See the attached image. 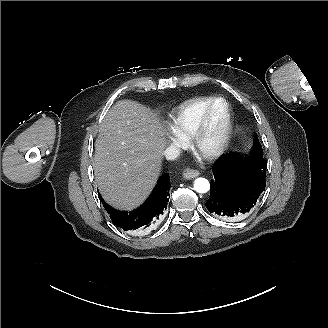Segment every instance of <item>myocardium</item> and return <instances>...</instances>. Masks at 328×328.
Here are the masks:
<instances>
[{"label":"myocardium","mask_w":328,"mask_h":328,"mask_svg":"<svg viewBox=\"0 0 328 328\" xmlns=\"http://www.w3.org/2000/svg\"><path fill=\"white\" fill-rule=\"evenodd\" d=\"M219 105H223L226 111V121L221 135L211 149L205 148L203 144V134L205 120ZM234 133V113L230 102L223 97H215L213 101L203 107L195 116L187 137L191 149L205 160H217L226 155L230 149Z\"/></svg>","instance_id":"f54148a6"}]
</instances>
